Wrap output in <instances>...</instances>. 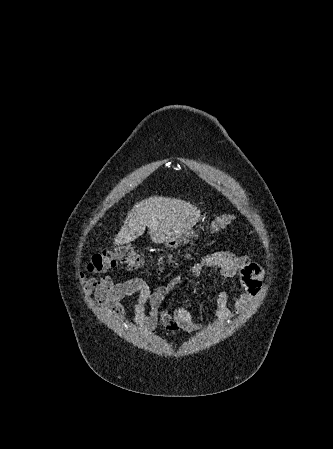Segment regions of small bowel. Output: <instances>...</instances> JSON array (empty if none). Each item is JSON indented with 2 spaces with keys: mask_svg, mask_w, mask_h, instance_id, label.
<instances>
[{
  "mask_svg": "<svg viewBox=\"0 0 333 449\" xmlns=\"http://www.w3.org/2000/svg\"><path fill=\"white\" fill-rule=\"evenodd\" d=\"M216 268L219 275L237 279L241 292L235 297L234 310L228 306L229 295L233 290L221 289L215 301V322L225 323L245 311L258 297L264 278L263 269L247 256H238L228 251L209 254L187 269L189 275H198L204 268ZM82 279L84 289L95 297L101 308L112 317L124 320L125 309L121 301L127 297H137L133 307L135 323L152 332L157 326L171 334L180 332L193 333L200 325L192 318L190 312L177 306L169 311L161 307L164 299L182 282V276L173 277L166 285L151 290L140 278H131L122 282H114L109 276Z\"/></svg>",
  "mask_w": 333,
  "mask_h": 449,
  "instance_id": "small-bowel-1",
  "label": "small bowel"
}]
</instances>
